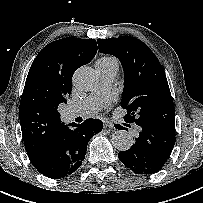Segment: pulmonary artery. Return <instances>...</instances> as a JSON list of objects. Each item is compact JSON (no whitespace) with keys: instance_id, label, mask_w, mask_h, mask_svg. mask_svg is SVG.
<instances>
[{"instance_id":"e3ab8cb5","label":"pulmonary artery","mask_w":203,"mask_h":203,"mask_svg":"<svg viewBox=\"0 0 203 203\" xmlns=\"http://www.w3.org/2000/svg\"><path fill=\"white\" fill-rule=\"evenodd\" d=\"M101 76V84L83 101L70 106L66 110V118L71 120L79 116H89L96 113L108 98L116 72L113 70L103 69L96 65Z\"/></svg>"}]
</instances>
